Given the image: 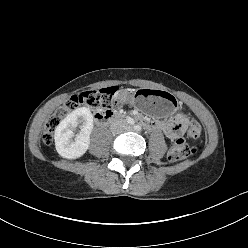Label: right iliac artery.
Instances as JSON below:
<instances>
[{"mask_svg": "<svg viewBox=\"0 0 248 248\" xmlns=\"http://www.w3.org/2000/svg\"><path fill=\"white\" fill-rule=\"evenodd\" d=\"M126 120H127V122H128L129 124H131V125H133V124L135 123L134 120H133L132 118H127Z\"/></svg>", "mask_w": 248, "mask_h": 248, "instance_id": "1", "label": "right iliac artery"}]
</instances>
